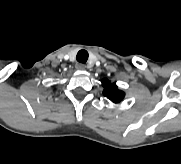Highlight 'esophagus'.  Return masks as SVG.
Wrapping results in <instances>:
<instances>
[{
	"label": "esophagus",
	"instance_id": "1",
	"mask_svg": "<svg viewBox=\"0 0 181 164\" xmlns=\"http://www.w3.org/2000/svg\"><path fill=\"white\" fill-rule=\"evenodd\" d=\"M76 68L79 70H85L86 66L84 64L78 63V64H76Z\"/></svg>",
	"mask_w": 181,
	"mask_h": 164
}]
</instances>
